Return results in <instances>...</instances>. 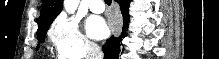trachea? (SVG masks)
I'll return each instance as SVG.
<instances>
[{"label":"trachea","mask_w":219,"mask_h":59,"mask_svg":"<svg viewBox=\"0 0 219 59\" xmlns=\"http://www.w3.org/2000/svg\"><path fill=\"white\" fill-rule=\"evenodd\" d=\"M105 3L107 4V5H111V3H112V1L111 0H105Z\"/></svg>","instance_id":"obj_1"}]
</instances>
